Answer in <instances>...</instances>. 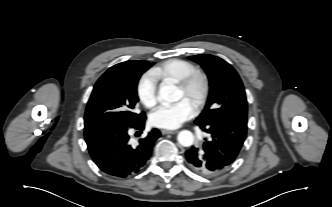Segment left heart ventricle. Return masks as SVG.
I'll list each match as a JSON object with an SVG mask.
<instances>
[{
  "label": "left heart ventricle",
  "instance_id": "obj_1",
  "mask_svg": "<svg viewBox=\"0 0 332 207\" xmlns=\"http://www.w3.org/2000/svg\"><path fill=\"white\" fill-rule=\"evenodd\" d=\"M186 98L182 90L178 87V99Z\"/></svg>",
  "mask_w": 332,
  "mask_h": 207
}]
</instances>
